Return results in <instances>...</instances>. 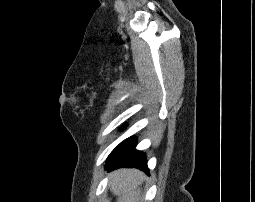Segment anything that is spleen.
<instances>
[{"mask_svg": "<svg viewBox=\"0 0 255 202\" xmlns=\"http://www.w3.org/2000/svg\"><path fill=\"white\" fill-rule=\"evenodd\" d=\"M143 175L136 170H119L110 181L111 191L118 197L117 202H139Z\"/></svg>", "mask_w": 255, "mask_h": 202, "instance_id": "spleen-1", "label": "spleen"}]
</instances>
